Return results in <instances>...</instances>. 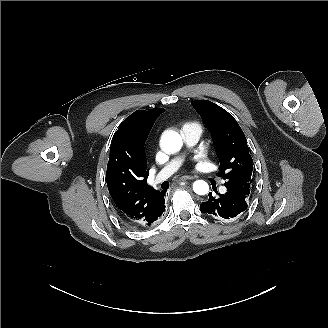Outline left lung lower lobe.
Masks as SVG:
<instances>
[{"label":"left lung lower lobe","mask_w":328,"mask_h":328,"mask_svg":"<svg viewBox=\"0 0 328 328\" xmlns=\"http://www.w3.org/2000/svg\"><path fill=\"white\" fill-rule=\"evenodd\" d=\"M247 206L244 199L229 192L219 194L218 197L209 193V200L202 202L200 210L215 219L230 221L245 211Z\"/></svg>","instance_id":"0a47b994"}]
</instances>
